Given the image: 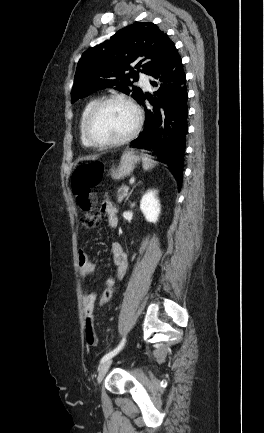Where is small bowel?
Returning a JSON list of instances; mask_svg holds the SVG:
<instances>
[{"label": "small bowel", "mask_w": 264, "mask_h": 433, "mask_svg": "<svg viewBox=\"0 0 264 433\" xmlns=\"http://www.w3.org/2000/svg\"><path fill=\"white\" fill-rule=\"evenodd\" d=\"M102 211L108 215L109 225L116 227L118 225L117 210L111 201L105 200L102 203ZM111 259L116 268V276L118 279L124 277L128 269V255L124 251L119 242H114L111 247ZM78 265L80 273L83 277L92 274L95 271L94 263L89 259L84 250H80L78 254ZM115 280L110 278L106 280V285H114ZM97 299V292L85 288L82 292L83 311H84V333L85 340L89 346H96L98 338L94 329V304Z\"/></svg>", "instance_id": "small-bowel-1"}]
</instances>
